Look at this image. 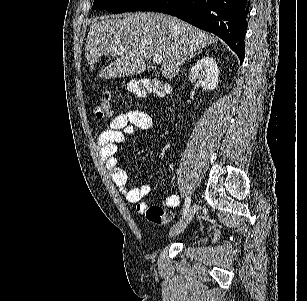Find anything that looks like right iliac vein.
Here are the masks:
<instances>
[{"label":"right iliac vein","mask_w":307,"mask_h":301,"mask_svg":"<svg viewBox=\"0 0 307 301\" xmlns=\"http://www.w3.org/2000/svg\"><path fill=\"white\" fill-rule=\"evenodd\" d=\"M197 209V205L194 204L189 211L187 212V214L185 215L184 219L182 221H180L179 223H177L169 232V237H173V236H177L179 235L181 232L184 231V229L188 226V224L190 223V221L192 220L195 212Z\"/></svg>","instance_id":"63e3f726"}]
</instances>
